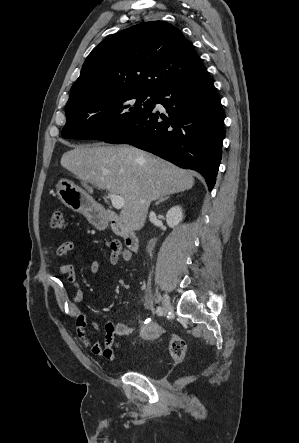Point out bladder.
<instances>
[{
  "label": "bladder",
  "mask_w": 299,
  "mask_h": 443,
  "mask_svg": "<svg viewBox=\"0 0 299 443\" xmlns=\"http://www.w3.org/2000/svg\"><path fill=\"white\" fill-rule=\"evenodd\" d=\"M134 371L138 372V373H141L143 375H146V376H149L150 372H151V370H150V368L148 366H143V365L136 366L134 368Z\"/></svg>",
  "instance_id": "31cf9c89"
}]
</instances>
